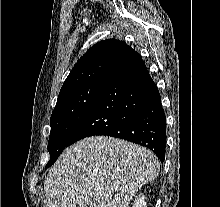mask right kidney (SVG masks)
I'll list each match as a JSON object with an SVG mask.
<instances>
[{
    "label": "right kidney",
    "mask_w": 220,
    "mask_h": 207,
    "mask_svg": "<svg viewBox=\"0 0 220 207\" xmlns=\"http://www.w3.org/2000/svg\"><path fill=\"white\" fill-rule=\"evenodd\" d=\"M146 198L144 195H139L138 197L135 198L134 204L132 207H146Z\"/></svg>",
    "instance_id": "ca27d5eb"
}]
</instances>
